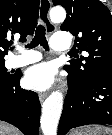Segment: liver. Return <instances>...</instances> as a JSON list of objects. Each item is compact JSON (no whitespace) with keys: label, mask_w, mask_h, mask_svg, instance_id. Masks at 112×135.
I'll list each match as a JSON object with an SVG mask.
<instances>
[{"label":"liver","mask_w":112,"mask_h":135,"mask_svg":"<svg viewBox=\"0 0 112 135\" xmlns=\"http://www.w3.org/2000/svg\"><path fill=\"white\" fill-rule=\"evenodd\" d=\"M0 135H21V132L17 128L0 121Z\"/></svg>","instance_id":"6515ba94"}]
</instances>
